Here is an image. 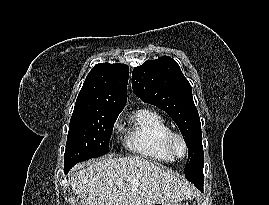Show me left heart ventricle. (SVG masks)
Returning a JSON list of instances; mask_svg holds the SVG:
<instances>
[{
	"label": "left heart ventricle",
	"mask_w": 269,
	"mask_h": 205,
	"mask_svg": "<svg viewBox=\"0 0 269 205\" xmlns=\"http://www.w3.org/2000/svg\"><path fill=\"white\" fill-rule=\"evenodd\" d=\"M176 150L178 151L179 154H182L184 149H183V145L181 144L180 141L176 142Z\"/></svg>",
	"instance_id": "obj_1"
}]
</instances>
